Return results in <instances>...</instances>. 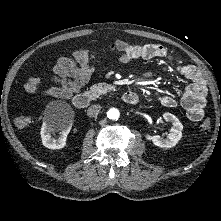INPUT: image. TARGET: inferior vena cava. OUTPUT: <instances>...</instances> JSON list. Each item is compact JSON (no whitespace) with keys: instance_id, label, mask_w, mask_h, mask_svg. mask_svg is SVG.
<instances>
[{"instance_id":"602c4592","label":"inferior vena cava","mask_w":221,"mask_h":221,"mask_svg":"<svg viewBox=\"0 0 221 221\" xmlns=\"http://www.w3.org/2000/svg\"><path fill=\"white\" fill-rule=\"evenodd\" d=\"M101 110V106L100 105H92L88 108L87 110V115L89 117H96L98 115V113L100 112Z\"/></svg>"}]
</instances>
